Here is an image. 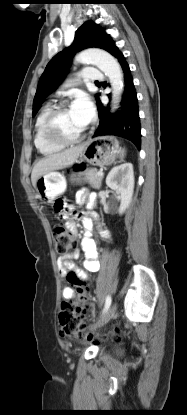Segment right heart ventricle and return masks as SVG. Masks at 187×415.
<instances>
[{
    "label": "right heart ventricle",
    "instance_id": "right-heart-ventricle-1",
    "mask_svg": "<svg viewBox=\"0 0 187 415\" xmlns=\"http://www.w3.org/2000/svg\"><path fill=\"white\" fill-rule=\"evenodd\" d=\"M51 109V104L43 106L35 122L34 144L37 150L46 156L58 153L64 147L50 142L44 134V122Z\"/></svg>",
    "mask_w": 187,
    "mask_h": 415
}]
</instances>
